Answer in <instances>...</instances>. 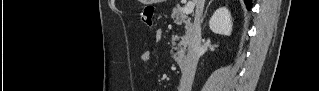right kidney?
I'll list each match as a JSON object with an SVG mask.
<instances>
[{
  "label": "right kidney",
  "instance_id": "1",
  "mask_svg": "<svg viewBox=\"0 0 319 91\" xmlns=\"http://www.w3.org/2000/svg\"><path fill=\"white\" fill-rule=\"evenodd\" d=\"M210 29L221 35H230L232 31V18L226 7L218 8L209 20Z\"/></svg>",
  "mask_w": 319,
  "mask_h": 91
}]
</instances>
